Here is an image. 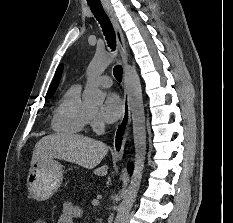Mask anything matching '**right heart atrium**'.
<instances>
[{
    "label": "right heart atrium",
    "instance_id": "right-heart-atrium-1",
    "mask_svg": "<svg viewBox=\"0 0 233 223\" xmlns=\"http://www.w3.org/2000/svg\"><path fill=\"white\" fill-rule=\"evenodd\" d=\"M88 124L96 132H101L104 129L103 121L95 113H90Z\"/></svg>",
    "mask_w": 233,
    "mask_h": 223
}]
</instances>
